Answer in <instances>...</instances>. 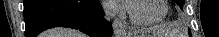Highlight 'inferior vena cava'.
<instances>
[{"label": "inferior vena cava", "mask_w": 219, "mask_h": 37, "mask_svg": "<svg viewBox=\"0 0 219 37\" xmlns=\"http://www.w3.org/2000/svg\"><path fill=\"white\" fill-rule=\"evenodd\" d=\"M105 19L111 20L117 14L118 8L115 5L104 6Z\"/></svg>", "instance_id": "inferior-vena-cava-1"}]
</instances>
